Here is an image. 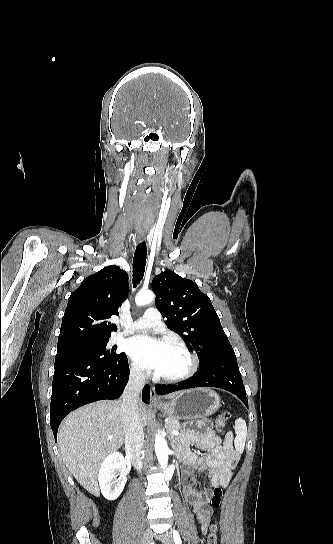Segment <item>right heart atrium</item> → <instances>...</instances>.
<instances>
[{"mask_svg": "<svg viewBox=\"0 0 333 544\" xmlns=\"http://www.w3.org/2000/svg\"><path fill=\"white\" fill-rule=\"evenodd\" d=\"M129 368L131 375L135 378L141 379L145 377V371L138 363L132 361Z\"/></svg>", "mask_w": 333, "mask_h": 544, "instance_id": "1", "label": "right heart atrium"}]
</instances>
